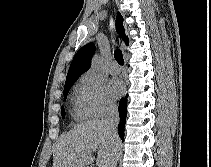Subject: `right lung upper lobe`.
Returning a JSON list of instances; mask_svg holds the SVG:
<instances>
[{"mask_svg": "<svg viewBox=\"0 0 211 167\" xmlns=\"http://www.w3.org/2000/svg\"><path fill=\"white\" fill-rule=\"evenodd\" d=\"M116 27L119 36L124 40L125 44L128 45V38L125 36V29L123 27V17L118 12L116 17ZM95 52V45L93 43H88L75 54L70 68L67 73L66 82L71 80H76L81 74L86 72L91 65V58ZM65 82V83H66Z\"/></svg>", "mask_w": 211, "mask_h": 167, "instance_id": "obj_1", "label": "right lung upper lobe"}]
</instances>
